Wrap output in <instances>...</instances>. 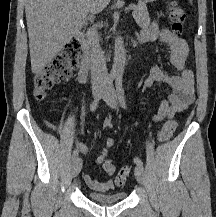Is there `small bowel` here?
Here are the masks:
<instances>
[{
	"label": "small bowel",
	"mask_w": 216,
	"mask_h": 217,
	"mask_svg": "<svg viewBox=\"0 0 216 217\" xmlns=\"http://www.w3.org/2000/svg\"><path fill=\"white\" fill-rule=\"evenodd\" d=\"M139 36L142 37L143 42L154 41L158 38L166 45L169 50L170 64L179 72L178 75H171L163 71L160 66L155 65L143 82V89L155 84H161L166 88L164 94L161 95L158 112L152 118L153 122H161L171 118L175 113L183 112L194 101V74L188 67L189 47L183 38L173 33L168 27L160 25L157 21L143 30ZM78 78L81 83H84L87 74L79 72ZM75 146L78 151L84 154L88 152L87 146L79 140L75 141ZM113 146L114 139L107 138L104 147L95 160L97 165H104L106 161H111L109 151ZM84 180L90 188L96 191L105 192L113 187L112 179L99 181L86 174Z\"/></svg>",
	"instance_id": "1"
}]
</instances>
